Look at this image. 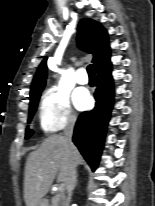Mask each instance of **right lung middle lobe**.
Instances as JSON below:
<instances>
[{"label": "right lung middle lobe", "mask_w": 155, "mask_h": 206, "mask_svg": "<svg viewBox=\"0 0 155 206\" xmlns=\"http://www.w3.org/2000/svg\"><path fill=\"white\" fill-rule=\"evenodd\" d=\"M41 93L35 95L34 97L30 98V104H29V117L28 120L30 122V120L32 119L35 111H36V107L39 101ZM33 134V131L30 129L26 130V134H25V138L28 139L31 135Z\"/></svg>", "instance_id": "dd1d6c3e"}]
</instances>
